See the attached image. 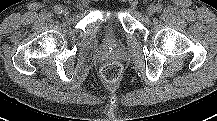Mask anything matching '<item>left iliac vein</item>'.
Segmentation results:
<instances>
[{
	"label": "left iliac vein",
	"mask_w": 217,
	"mask_h": 121,
	"mask_svg": "<svg viewBox=\"0 0 217 121\" xmlns=\"http://www.w3.org/2000/svg\"><path fill=\"white\" fill-rule=\"evenodd\" d=\"M146 13H147L148 16H152L155 13V7L154 6H149L147 8Z\"/></svg>",
	"instance_id": "left-iliac-vein-1"
}]
</instances>
